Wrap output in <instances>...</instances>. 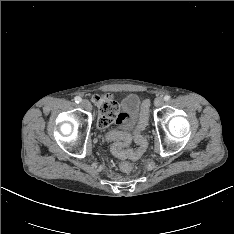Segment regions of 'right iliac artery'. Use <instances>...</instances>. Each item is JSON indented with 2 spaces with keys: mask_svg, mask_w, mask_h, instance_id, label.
<instances>
[{
  "mask_svg": "<svg viewBox=\"0 0 234 234\" xmlns=\"http://www.w3.org/2000/svg\"><path fill=\"white\" fill-rule=\"evenodd\" d=\"M74 101H75L76 103H80V102L82 101V99H81L79 96H76V97L74 98Z\"/></svg>",
  "mask_w": 234,
  "mask_h": 234,
  "instance_id": "1",
  "label": "right iliac artery"
}]
</instances>
